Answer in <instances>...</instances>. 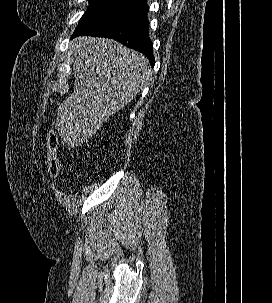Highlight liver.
Instances as JSON below:
<instances>
[{
  "mask_svg": "<svg viewBox=\"0 0 272 303\" xmlns=\"http://www.w3.org/2000/svg\"><path fill=\"white\" fill-rule=\"evenodd\" d=\"M74 91L58 107L56 128L69 145L83 143L142 90L151 75L148 59L108 38L77 37Z\"/></svg>",
  "mask_w": 272,
  "mask_h": 303,
  "instance_id": "liver-1",
  "label": "liver"
}]
</instances>
